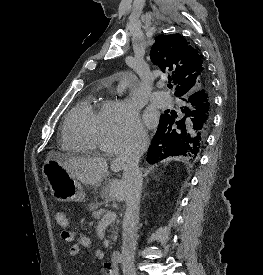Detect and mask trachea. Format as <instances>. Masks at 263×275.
Here are the masks:
<instances>
[{"instance_id":"1","label":"trachea","mask_w":263,"mask_h":275,"mask_svg":"<svg viewBox=\"0 0 263 275\" xmlns=\"http://www.w3.org/2000/svg\"><path fill=\"white\" fill-rule=\"evenodd\" d=\"M167 87H168V88H172V84L169 83V84L167 85Z\"/></svg>"}]
</instances>
